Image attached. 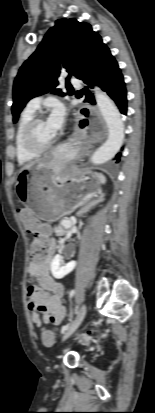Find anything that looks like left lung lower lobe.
Here are the masks:
<instances>
[{
    "mask_svg": "<svg viewBox=\"0 0 155 413\" xmlns=\"http://www.w3.org/2000/svg\"><path fill=\"white\" fill-rule=\"evenodd\" d=\"M86 94L84 102L95 104L94 96L88 90L92 85H98L103 91L112 98L120 112L127 113V92L121 70L115 58L107 46L103 48L97 59L94 61L88 72L81 78ZM122 153L118 152L115 156L116 162L120 161Z\"/></svg>",
    "mask_w": 155,
    "mask_h": 413,
    "instance_id": "left-lung-lower-lobe-1",
    "label": "left lung lower lobe"
}]
</instances>
